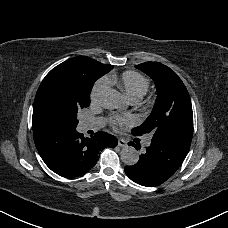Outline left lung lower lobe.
<instances>
[{
    "instance_id": "obj_1",
    "label": "left lung lower lobe",
    "mask_w": 228,
    "mask_h": 228,
    "mask_svg": "<svg viewBox=\"0 0 228 228\" xmlns=\"http://www.w3.org/2000/svg\"><path fill=\"white\" fill-rule=\"evenodd\" d=\"M135 136V135H134ZM129 145L140 149L137 138ZM190 144L188 142L153 135L151 144L140 155L139 161L133 166L124 168L127 176L143 186H157L170 178L183 163Z\"/></svg>"
}]
</instances>
